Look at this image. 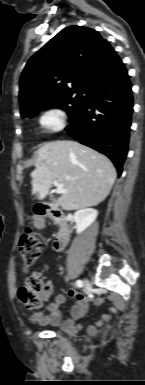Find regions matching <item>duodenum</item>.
Instances as JSON below:
<instances>
[{"label": "duodenum", "instance_id": "410a0bca", "mask_svg": "<svg viewBox=\"0 0 145 385\" xmlns=\"http://www.w3.org/2000/svg\"><path fill=\"white\" fill-rule=\"evenodd\" d=\"M35 214L40 218L49 217L59 225V233L53 242V246L56 251L62 250L69 240V226L64 212L51 203L41 202L38 204ZM43 225L41 223L40 227Z\"/></svg>", "mask_w": 145, "mask_h": 385}]
</instances>
